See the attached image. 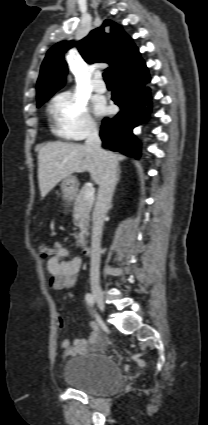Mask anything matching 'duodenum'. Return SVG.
<instances>
[{
  "instance_id": "duodenum-1",
  "label": "duodenum",
  "mask_w": 208,
  "mask_h": 425,
  "mask_svg": "<svg viewBox=\"0 0 208 425\" xmlns=\"http://www.w3.org/2000/svg\"><path fill=\"white\" fill-rule=\"evenodd\" d=\"M82 252H83L84 255H90L91 249H90L89 246L84 245V246H82Z\"/></svg>"
}]
</instances>
